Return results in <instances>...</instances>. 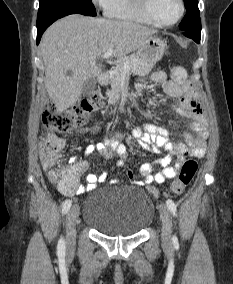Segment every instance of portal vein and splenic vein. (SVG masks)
Returning <instances> with one entry per match:
<instances>
[{"label":"portal vein and splenic vein","instance_id":"1","mask_svg":"<svg viewBox=\"0 0 233 284\" xmlns=\"http://www.w3.org/2000/svg\"><path fill=\"white\" fill-rule=\"evenodd\" d=\"M113 54V47H109L105 53L101 55L102 58H109ZM128 66L127 63L124 64V67L126 68Z\"/></svg>","mask_w":233,"mask_h":284}]
</instances>
